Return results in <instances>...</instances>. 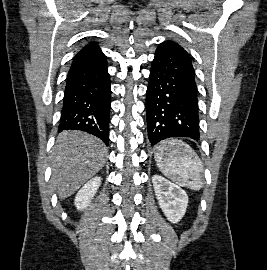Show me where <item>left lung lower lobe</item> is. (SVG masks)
I'll return each instance as SVG.
<instances>
[{
	"label": "left lung lower lobe",
	"instance_id": "0a47b994",
	"mask_svg": "<svg viewBox=\"0 0 267 270\" xmlns=\"http://www.w3.org/2000/svg\"><path fill=\"white\" fill-rule=\"evenodd\" d=\"M146 113L151 146L172 137L200 138L195 72L189 54L175 42L165 41L156 50Z\"/></svg>",
	"mask_w": 267,
	"mask_h": 270
}]
</instances>
